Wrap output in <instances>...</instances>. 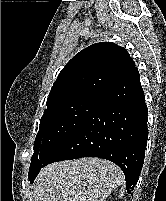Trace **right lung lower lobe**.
<instances>
[{
    "instance_id": "obj_1",
    "label": "right lung lower lobe",
    "mask_w": 166,
    "mask_h": 201,
    "mask_svg": "<svg viewBox=\"0 0 166 201\" xmlns=\"http://www.w3.org/2000/svg\"><path fill=\"white\" fill-rule=\"evenodd\" d=\"M147 115L144 92L135 67L58 145L42 167L56 161L82 157L107 159L122 169L127 192L133 195L145 157ZM39 171L29 178L31 183Z\"/></svg>"
}]
</instances>
